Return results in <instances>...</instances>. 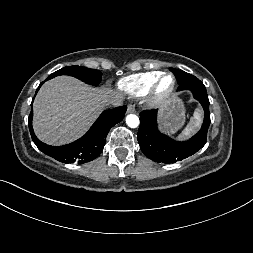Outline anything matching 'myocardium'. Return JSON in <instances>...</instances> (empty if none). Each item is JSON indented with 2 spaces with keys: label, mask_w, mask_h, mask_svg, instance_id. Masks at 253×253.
Wrapping results in <instances>:
<instances>
[{
  "label": "myocardium",
  "mask_w": 253,
  "mask_h": 253,
  "mask_svg": "<svg viewBox=\"0 0 253 253\" xmlns=\"http://www.w3.org/2000/svg\"><path fill=\"white\" fill-rule=\"evenodd\" d=\"M165 77H170L172 79V84L170 88L167 89L166 91H160L159 87H160L161 81ZM176 84H177V81L173 74L167 73V72L161 73L152 83L149 91L147 92L148 105L151 107H157L164 104L173 95L176 88Z\"/></svg>",
  "instance_id": "f54148a6"
}]
</instances>
